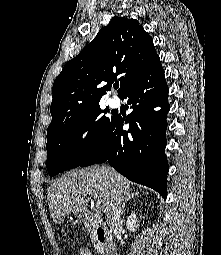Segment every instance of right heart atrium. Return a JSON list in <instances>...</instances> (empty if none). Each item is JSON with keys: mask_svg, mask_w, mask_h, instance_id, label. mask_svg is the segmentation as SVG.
I'll return each mask as SVG.
<instances>
[{"mask_svg": "<svg viewBox=\"0 0 221 255\" xmlns=\"http://www.w3.org/2000/svg\"><path fill=\"white\" fill-rule=\"evenodd\" d=\"M91 132V125L89 123H83L79 128V138L86 139Z\"/></svg>", "mask_w": 221, "mask_h": 255, "instance_id": "d8ad5b80", "label": "right heart atrium"}]
</instances>
